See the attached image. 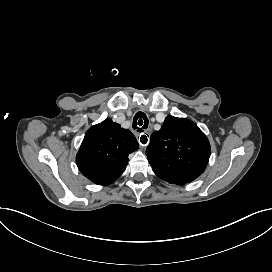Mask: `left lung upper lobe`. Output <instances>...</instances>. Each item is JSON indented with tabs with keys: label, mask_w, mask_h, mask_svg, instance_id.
Returning a JSON list of instances; mask_svg holds the SVG:
<instances>
[{
	"label": "left lung upper lobe",
	"mask_w": 272,
	"mask_h": 272,
	"mask_svg": "<svg viewBox=\"0 0 272 272\" xmlns=\"http://www.w3.org/2000/svg\"><path fill=\"white\" fill-rule=\"evenodd\" d=\"M210 151L207 137L194 122L168 116L151 135L146 155L159 178L184 185L204 172Z\"/></svg>",
	"instance_id": "1"
}]
</instances>
